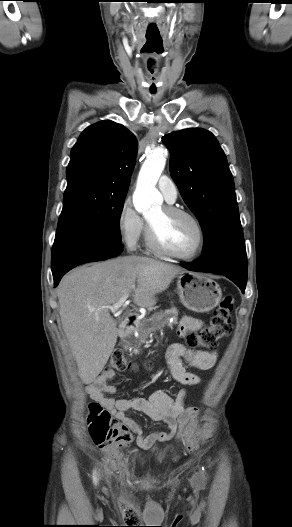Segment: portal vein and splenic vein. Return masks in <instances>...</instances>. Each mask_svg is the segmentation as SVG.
Instances as JSON below:
<instances>
[{
    "label": "portal vein and splenic vein",
    "mask_w": 292,
    "mask_h": 527,
    "mask_svg": "<svg viewBox=\"0 0 292 527\" xmlns=\"http://www.w3.org/2000/svg\"><path fill=\"white\" fill-rule=\"evenodd\" d=\"M129 297V294H125L123 295L118 302H116L115 304H113L112 306L108 307V309L112 312V313H119V309L124 305V303L127 301Z\"/></svg>",
    "instance_id": "18ae733b"
}]
</instances>
